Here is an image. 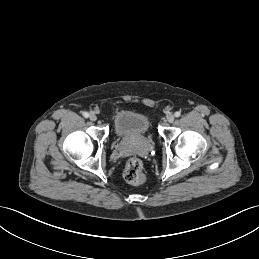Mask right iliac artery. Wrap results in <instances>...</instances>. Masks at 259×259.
I'll list each match as a JSON object with an SVG mask.
<instances>
[{
	"instance_id": "82829eb1",
	"label": "right iliac artery",
	"mask_w": 259,
	"mask_h": 259,
	"mask_svg": "<svg viewBox=\"0 0 259 259\" xmlns=\"http://www.w3.org/2000/svg\"><path fill=\"white\" fill-rule=\"evenodd\" d=\"M83 116H84L85 118H88V117H89V113H88V112H84V113H83Z\"/></svg>"
}]
</instances>
